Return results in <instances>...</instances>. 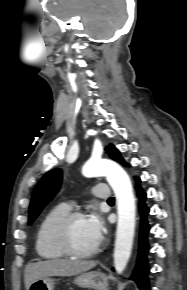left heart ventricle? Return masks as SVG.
Segmentation results:
<instances>
[{"instance_id": "1", "label": "left heart ventricle", "mask_w": 187, "mask_h": 290, "mask_svg": "<svg viewBox=\"0 0 187 290\" xmlns=\"http://www.w3.org/2000/svg\"><path fill=\"white\" fill-rule=\"evenodd\" d=\"M71 236L74 246L82 251L89 250L98 243L88 225L87 217L74 222Z\"/></svg>"}]
</instances>
